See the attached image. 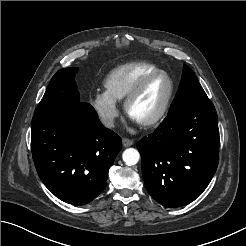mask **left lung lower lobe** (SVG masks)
<instances>
[{
  "instance_id": "1",
  "label": "left lung lower lobe",
  "mask_w": 246,
  "mask_h": 246,
  "mask_svg": "<svg viewBox=\"0 0 246 246\" xmlns=\"http://www.w3.org/2000/svg\"><path fill=\"white\" fill-rule=\"evenodd\" d=\"M148 193L166 207H181L201 195L218 166L217 113L207 98L171 112L137 144Z\"/></svg>"
}]
</instances>
